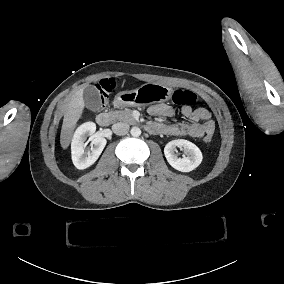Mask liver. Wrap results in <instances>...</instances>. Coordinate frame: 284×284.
I'll use <instances>...</instances> for the list:
<instances>
[{"label": "liver", "mask_w": 284, "mask_h": 284, "mask_svg": "<svg viewBox=\"0 0 284 284\" xmlns=\"http://www.w3.org/2000/svg\"><path fill=\"white\" fill-rule=\"evenodd\" d=\"M83 92L84 87L79 88L66 98L64 104L65 114L60 134V143L63 149H66L69 146L76 122L82 114L84 108Z\"/></svg>", "instance_id": "1"}]
</instances>
